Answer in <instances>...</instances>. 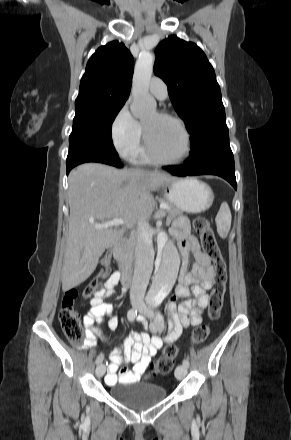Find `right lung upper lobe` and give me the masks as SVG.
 Here are the masks:
<instances>
[{
    "mask_svg": "<svg viewBox=\"0 0 291 440\" xmlns=\"http://www.w3.org/2000/svg\"><path fill=\"white\" fill-rule=\"evenodd\" d=\"M134 59L123 43L101 46L89 59L75 104L126 101L132 84Z\"/></svg>",
    "mask_w": 291,
    "mask_h": 440,
    "instance_id": "obj_1",
    "label": "right lung upper lobe"
}]
</instances>
